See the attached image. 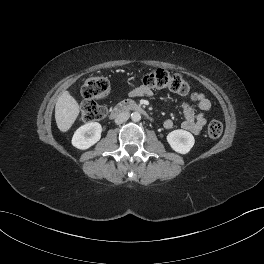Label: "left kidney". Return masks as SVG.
Returning a JSON list of instances; mask_svg holds the SVG:
<instances>
[{"label":"left kidney","mask_w":264,"mask_h":264,"mask_svg":"<svg viewBox=\"0 0 264 264\" xmlns=\"http://www.w3.org/2000/svg\"><path fill=\"white\" fill-rule=\"evenodd\" d=\"M167 142L177 153L187 154L193 147L195 140L190 132L178 129L167 135Z\"/></svg>","instance_id":"5707ae66"}]
</instances>
